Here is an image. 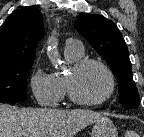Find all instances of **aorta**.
Here are the masks:
<instances>
[{"instance_id":"aorta-1","label":"aorta","mask_w":144,"mask_h":137,"mask_svg":"<svg viewBox=\"0 0 144 137\" xmlns=\"http://www.w3.org/2000/svg\"><path fill=\"white\" fill-rule=\"evenodd\" d=\"M48 45L50 46L49 49L47 50V56L50 60V62L55 65L60 62V55L58 53L57 49V41L55 40H50L48 42Z\"/></svg>"}]
</instances>
